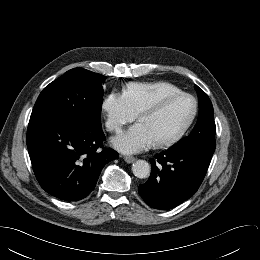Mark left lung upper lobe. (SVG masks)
<instances>
[{
    "instance_id": "left-lung-upper-lobe-1",
    "label": "left lung upper lobe",
    "mask_w": 260,
    "mask_h": 260,
    "mask_svg": "<svg viewBox=\"0 0 260 260\" xmlns=\"http://www.w3.org/2000/svg\"><path fill=\"white\" fill-rule=\"evenodd\" d=\"M199 98V117L197 123L189 134L171 148L179 150L202 151L213 154L216 142L214 134V110L207 94L195 85Z\"/></svg>"
}]
</instances>
